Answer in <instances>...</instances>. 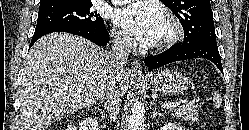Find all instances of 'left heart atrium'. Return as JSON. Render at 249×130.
Returning a JSON list of instances; mask_svg holds the SVG:
<instances>
[{"label": "left heart atrium", "mask_w": 249, "mask_h": 130, "mask_svg": "<svg viewBox=\"0 0 249 130\" xmlns=\"http://www.w3.org/2000/svg\"><path fill=\"white\" fill-rule=\"evenodd\" d=\"M116 22L143 45L159 41L165 23L163 11L152 1H137L119 10Z\"/></svg>", "instance_id": "left-heart-atrium-1"}]
</instances>
